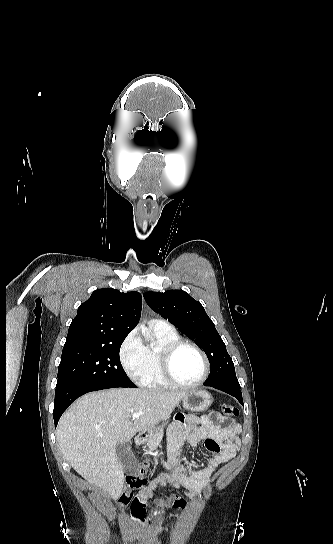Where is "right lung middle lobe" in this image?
Returning a JSON list of instances; mask_svg holds the SVG:
<instances>
[{
	"label": "right lung middle lobe",
	"instance_id": "right-lung-middle-lobe-1",
	"mask_svg": "<svg viewBox=\"0 0 333 544\" xmlns=\"http://www.w3.org/2000/svg\"><path fill=\"white\" fill-rule=\"evenodd\" d=\"M125 338L123 336L110 343L63 349L57 383L136 387L127 377L119 358L120 347Z\"/></svg>",
	"mask_w": 333,
	"mask_h": 544
}]
</instances>
